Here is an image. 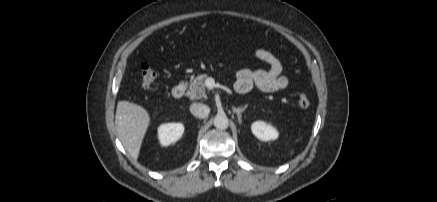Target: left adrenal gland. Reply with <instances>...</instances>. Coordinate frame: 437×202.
I'll list each match as a JSON object with an SVG mask.
<instances>
[{
  "label": "left adrenal gland",
  "instance_id": "1",
  "mask_svg": "<svg viewBox=\"0 0 437 202\" xmlns=\"http://www.w3.org/2000/svg\"><path fill=\"white\" fill-rule=\"evenodd\" d=\"M246 108L247 105H245L244 107L232 108L233 112L237 114V118L240 124L242 123V113L246 110Z\"/></svg>",
  "mask_w": 437,
  "mask_h": 202
}]
</instances>
